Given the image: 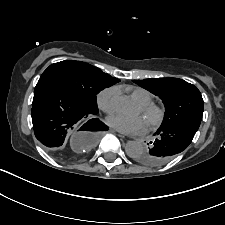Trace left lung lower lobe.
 <instances>
[{
  "label": "left lung lower lobe",
  "mask_w": 225,
  "mask_h": 225,
  "mask_svg": "<svg viewBox=\"0 0 225 225\" xmlns=\"http://www.w3.org/2000/svg\"><path fill=\"white\" fill-rule=\"evenodd\" d=\"M201 120L189 119L164 129H158L157 137L146 152V159L138 161L148 166H160L170 161L175 155L184 151L191 143Z\"/></svg>",
  "instance_id": "obj_1"
}]
</instances>
